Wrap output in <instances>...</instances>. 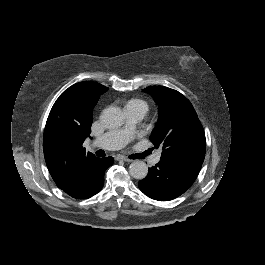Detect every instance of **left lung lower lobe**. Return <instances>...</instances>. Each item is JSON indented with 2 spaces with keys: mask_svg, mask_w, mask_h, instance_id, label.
Here are the masks:
<instances>
[{
  "mask_svg": "<svg viewBox=\"0 0 265 265\" xmlns=\"http://www.w3.org/2000/svg\"><path fill=\"white\" fill-rule=\"evenodd\" d=\"M202 164L160 160L149 168L148 175L139 181L140 190L148 197L168 201L183 194L195 181Z\"/></svg>",
  "mask_w": 265,
  "mask_h": 265,
  "instance_id": "obj_1",
  "label": "left lung lower lobe"
}]
</instances>
